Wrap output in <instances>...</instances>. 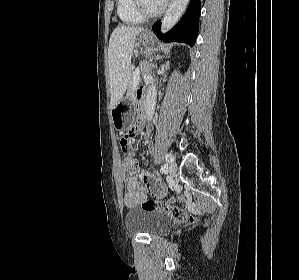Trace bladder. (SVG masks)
<instances>
[{
  "mask_svg": "<svg viewBox=\"0 0 299 280\" xmlns=\"http://www.w3.org/2000/svg\"><path fill=\"white\" fill-rule=\"evenodd\" d=\"M125 225L130 232L157 236L169 230L171 218L157 210H132L125 217Z\"/></svg>",
  "mask_w": 299,
  "mask_h": 280,
  "instance_id": "31cf9c89",
  "label": "bladder"
}]
</instances>
